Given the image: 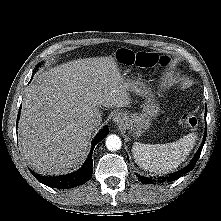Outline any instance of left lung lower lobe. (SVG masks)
I'll use <instances>...</instances> for the list:
<instances>
[{"label":"left lung lower lobe","mask_w":221,"mask_h":221,"mask_svg":"<svg viewBox=\"0 0 221 221\" xmlns=\"http://www.w3.org/2000/svg\"><path fill=\"white\" fill-rule=\"evenodd\" d=\"M206 114H207V109H206V111H205V117H206ZM206 134H207V133H205V135H204L202 144H201L200 148L198 149L197 154L195 155V157L193 158V160L190 162V164H189L186 168H184V169H182V170H180V171H178V172H175V173H173V174H169V176H168L167 178H165V180H164V178H163L162 180L155 181V180H151L150 178L137 175L138 178H139L142 182H144V183H152L153 181L158 182V183H159V182L161 183V182L166 181V180L170 182V181H175V180H177L181 175H183V174H185V173L191 171V170L194 168V166H195L197 160H198L199 157H200V154H201L203 145H204L205 140H206Z\"/></svg>","instance_id":"1"}]
</instances>
